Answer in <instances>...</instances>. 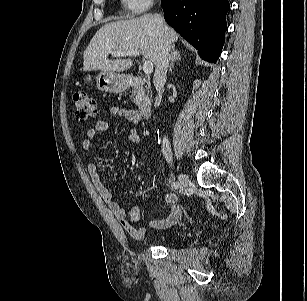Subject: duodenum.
Segmentation results:
<instances>
[{
    "label": "duodenum",
    "instance_id": "1",
    "mask_svg": "<svg viewBox=\"0 0 307 301\" xmlns=\"http://www.w3.org/2000/svg\"><path fill=\"white\" fill-rule=\"evenodd\" d=\"M130 86L137 89L139 92V100H138V111L143 119H147L150 117L152 113V104L150 101L145 99L142 96L144 81L139 76H131L130 77Z\"/></svg>",
    "mask_w": 307,
    "mask_h": 301
}]
</instances>
